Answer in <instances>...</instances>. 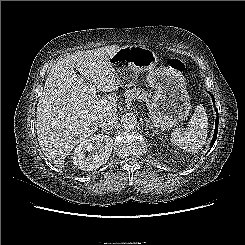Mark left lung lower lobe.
Instances as JSON below:
<instances>
[{"label":"left lung lower lobe","instance_id":"1","mask_svg":"<svg viewBox=\"0 0 245 245\" xmlns=\"http://www.w3.org/2000/svg\"><path fill=\"white\" fill-rule=\"evenodd\" d=\"M211 96H212V99H213V102H214V97H213V95H211ZM218 121H219V117H218V112H217L215 131H214V135H213V138H212V141H211V144H210L211 147L214 145L216 137H217Z\"/></svg>","mask_w":245,"mask_h":245}]
</instances>
